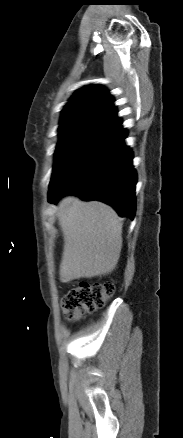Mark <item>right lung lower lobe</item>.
I'll use <instances>...</instances> for the list:
<instances>
[{
    "label": "right lung lower lobe",
    "mask_w": 183,
    "mask_h": 438,
    "mask_svg": "<svg viewBox=\"0 0 183 438\" xmlns=\"http://www.w3.org/2000/svg\"><path fill=\"white\" fill-rule=\"evenodd\" d=\"M116 119L101 127L50 183L49 202L67 194L98 200L122 217L134 218L136 171L133 153L125 146L127 131Z\"/></svg>",
    "instance_id": "obj_1"
}]
</instances>
